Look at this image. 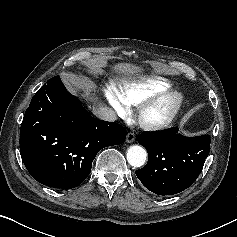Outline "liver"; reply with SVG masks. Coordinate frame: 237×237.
I'll use <instances>...</instances> for the list:
<instances>
[{
	"label": "liver",
	"instance_id": "1",
	"mask_svg": "<svg viewBox=\"0 0 237 237\" xmlns=\"http://www.w3.org/2000/svg\"><path fill=\"white\" fill-rule=\"evenodd\" d=\"M117 69H120L122 71L125 72H132L134 70L133 66L129 65V64H121L117 66ZM66 82V81H65ZM67 83V82H66ZM69 89L71 90V92L75 93V89L73 87H71L70 84H68ZM83 98H85L86 100L90 101V102H96V98L95 95L90 94L89 91H86L85 93L82 94Z\"/></svg>",
	"mask_w": 237,
	"mask_h": 237
}]
</instances>
